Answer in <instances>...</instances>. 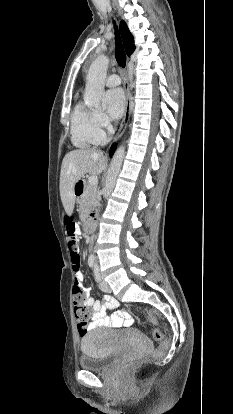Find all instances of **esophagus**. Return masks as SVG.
<instances>
[{"mask_svg":"<svg viewBox=\"0 0 233 414\" xmlns=\"http://www.w3.org/2000/svg\"><path fill=\"white\" fill-rule=\"evenodd\" d=\"M125 72H126V79H125V83H124V88H125V92H126V99H125V110H124V116L119 128V131L115 137V141L118 140L124 133L129 118H130V113H131V107H132V98H131V92H130V78H129V67L127 66L125 68Z\"/></svg>","mask_w":233,"mask_h":414,"instance_id":"esophagus-1","label":"esophagus"}]
</instances>
